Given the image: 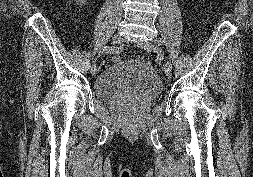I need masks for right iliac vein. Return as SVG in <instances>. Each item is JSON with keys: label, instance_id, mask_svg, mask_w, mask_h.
Returning <instances> with one entry per match:
<instances>
[{"label": "right iliac vein", "instance_id": "1", "mask_svg": "<svg viewBox=\"0 0 253 177\" xmlns=\"http://www.w3.org/2000/svg\"><path fill=\"white\" fill-rule=\"evenodd\" d=\"M122 41H123V39H122V37H121L120 34H115V35L113 36V38H112V43H113L114 45L121 44ZM90 71H91L92 75H96L97 72H98V68L96 67L95 69H92V68L90 67Z\"/></svg>", "mask_w": 253, "mask_h": 177}]
</instances>
